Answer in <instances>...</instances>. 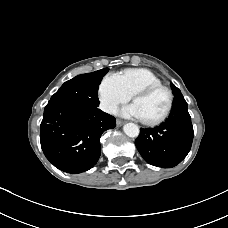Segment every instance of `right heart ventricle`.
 Wrapping results in <instances>:
<instances>
[{
  "instance_id": "1",
  "label": "right heart ventricle",
  "mask_w": 228,
  "mask_h": 228,
  "mask_svg": "<svg viewBox=\"0 0 228 228\" xmlns=\"http://www.w3.org/2000/svg\"><path fill=\"white\" fill-rule=\"evenodd\" d=\"M124 89L130 96L140 88L161 84L160 79L145 68H128L118 74Z\"/></svg>"
}]
</instances>
